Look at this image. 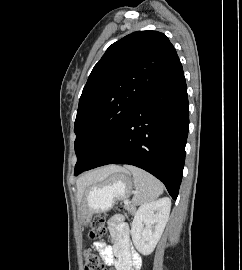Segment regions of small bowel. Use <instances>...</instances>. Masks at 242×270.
Returning <instances> with one entry per match:
<instances>
[{"label": "small bowel", "mask_w": 242, "mask_h": 270, "mask_svg": "<svg viewBox=\"0 0 242 270\" xmlns=\"http://www.w3.org/2000/svg\"><path fill=\"white\" fill-rule=\"evenodd\" d=\"M108 227L112 244L102 241L94 243L104 263L115 266L116 270H137L140 267V256L132 250L130 229L124 216L117 214L110 217Z\"/></svg>", "instance_id": "small-bowel-1"}]
</instances>
